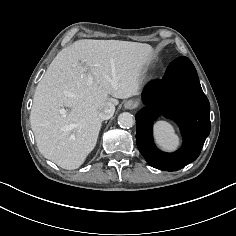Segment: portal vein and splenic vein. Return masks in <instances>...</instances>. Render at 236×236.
<instances>
[{"mask_svg":"<svg viewBox=\"0 0 236 236\" xmlns=\"http://www.w3.org/2000/svg\"><path fill=\"white\" fill-rule=\"evenodd\" d=\"M60 113L65 114V113H66V110H65V109H61V110H60Z\"/></svg>","mask_w":236,"mask_h":236,"instance_id":"18ae733b","label":"portal vein and splenic vein"}]
</instances>
